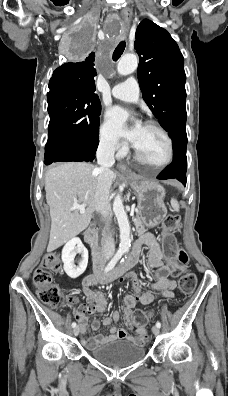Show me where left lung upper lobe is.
<instances>
[{"label": "left lung upper lobe", "mask_w": 228, "mask_h": 396, "mask_svg": "<svg viewBox=\"0 0 228 396\" xmlns=\"http://www.w3.org/2000/svg\"><path fill=\"white\" fill-rule=\"evenodd\" d=\"M135 39L142 97L168 132L187 116L183 56L170 34L148 19L138 25Z\"/></svg>", "instance_id": "1"}]
</instances>
